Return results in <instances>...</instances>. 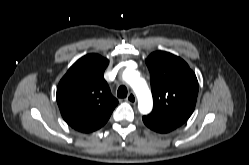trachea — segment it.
Masks as SVG:
<instances>
[{
	"label": "trachea",
	"instance_id": "3493384b",
	"mask_svg": "<svg viewBox=\"0 0 249 165\" xmlns=\"http://www.w3.org/2000/svg\"><path fill=\"white\" fill-rule=\"evenodd\" d=\"M127 88L125 86H120L117 90V96L119 98H125L127 96Z\"/></svg>",
	"mask_w": 249,
	"mask_h": 165
}]
</instances>
